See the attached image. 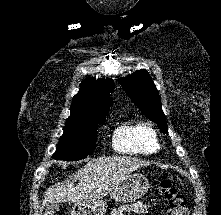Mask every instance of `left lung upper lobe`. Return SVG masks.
<instances>
[{"instance_id": "left-lung-upper-lobe-1", "label": "left lung upper lobe", "mask_w": 221, "mask_h": 215, "mask_svg": "<svg viewBox=\"0 0 221 215\" xmlns=\"http://www.w3.org/2000/svg\"><path fill=\"white\" fill-rule=\"evenodd\" d=\"M118 80L138 108L150 120L157 123L164 133L168 132L160 96L149 73L145 69H141L127 78H119Z\"/></svg>"}]
</instances>
